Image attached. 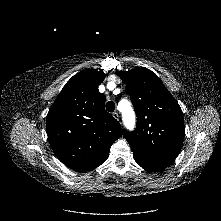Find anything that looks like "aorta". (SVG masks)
I'll return each mask as SVG.
<instances>
[{
  "instance_id": "aorta-1",
  "label": "aorta",
  "mask_w": 221,
  "mask_h": 221,
  "mask_svg": "<svg viewBox=\"0 0 221 221\" xmlns=\"http://www.w3.org/2000/svg\"><path fill=\"white\" fill-rule=\"evenodd\" d=\"M120 105L125 106V109L123 111V121L125 126L131 130L134 128L135 125V115L131 108V105L128 101H122L120 102Z\"/></svg>"
}]
</instances>
